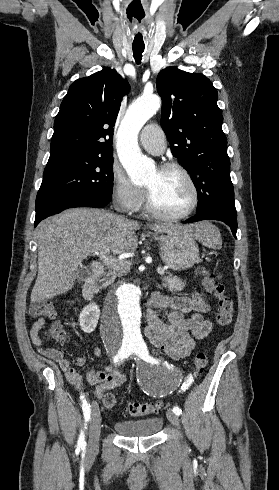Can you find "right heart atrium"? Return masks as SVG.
Segmentation results:
<instances>
[{"instance_id":"d8ad5b80","label":"right heart atrium","mask_w":279,"mask_h":490,"mask_svg":"<svg viewBox=\"0 0 279 490\" xmlns=\"http://www.w3.org/2000/svg\"><path fill=\"white\" fill-rule=\"evenodd\" d=\"M110 187L113 198L123 210L138 213L142 209L146 190L133 184L117 163L111 166Z\"/></svg>"}]
</instances>
